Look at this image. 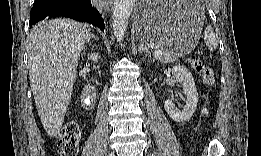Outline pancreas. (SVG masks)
I'll return each mask as SVG.
<instances>
[{
  "instance_id": "cf45deb5",
  "label": "pancreas",
  "mask_w": 261,
  "mask_h": 156,
  "mask_svg": "<svg viewBox=\"0 0 261 156\" xmlns=\"http://www.w3.org/2000/svg\"><path fill=\"white\" fill-rule=\"evenodd\" d=\"M177 58V55L174 52H166L159 57V60L164 63L173 62Z\"/></svg>"
}]
</instances>
